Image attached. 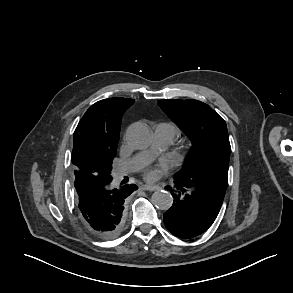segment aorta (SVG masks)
Instances as JSON below:
<instances>
[{"instance_id": "obj_1", "label": "aorta", "mask_w": 293, "mask_h": 293, "mask_svg": "<svg viewBox=\"0 0 293 293\" xmlns=\"http://www.w3.org/2000/svg\"><path fill=\"white\" fill-rule=\"evenodd\" d=\"M127 140L135 148H144L151 142V131L145 124H133L128 129ZM152 203L161 210H168L173 204V197L167 191H157L152 195Z\"/></svg>"}]
</instances>
